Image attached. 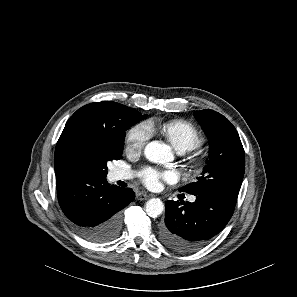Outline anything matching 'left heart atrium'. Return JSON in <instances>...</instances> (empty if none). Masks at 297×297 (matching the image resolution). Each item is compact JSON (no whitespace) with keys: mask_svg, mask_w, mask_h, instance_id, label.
<instances>
[{"mask_svg":"<svg viewBox=\"0 0 297 297\" xmlns=\"http://www.w3.org/2000/svg\"><path fill=\"white\" fill-rule=\"evenodd\" d=\"M178 174L174 170L159 171L153 168H144L141 177L144 184L149 188H156L162 180L172 182L176 180Z\"/></svg>","mask_w":297,"mask_h":297,"instance_id":"obj_1","label":"left heart atrium"}]
</instances>
